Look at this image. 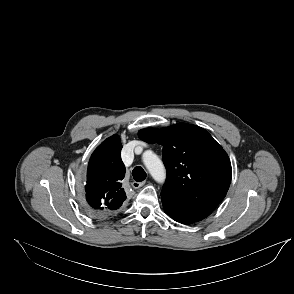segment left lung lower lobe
<instances>
[{
  "label": "left lung lower lobe",
  "instance_id": "obj_1",
  "mask_svg": "<svg viewBox=\"0 0 294 294\" xmlns=\"http://www.w3.org/2000/svg\"><path fill=\"white\" fill-rule=\"evenodd\" d=\"M165 209V212L167 214H169L175 221H178L180 223H183V224H191L193 222H198V221H193L191 219H188V218H185L183 217L181 214L177 213V212H174V211H171L169 209Z\"/></svg>",
  "mask_w": 294,
  "mask_h": 294
}]
</instances>
